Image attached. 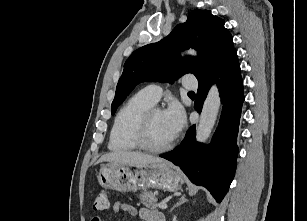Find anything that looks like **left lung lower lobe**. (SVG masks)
<instances>
[{"label": "left lung lower lobe", "mask_w": 307, "mask_h": 221, "mask_svg": "<svg viewBox=\"0 0 307 221\" xmlns=\"http://www.w3.org/2000/svg\"><path fill=\"white\" fill-rule=\"evenodd\" d=\"M214 82L219 87L223 109L211 143L205 146L196 142L193 125L181 145L160 157L179 166L192 183L206 187L220 203L235 174L238 153L236 142L244 101L243 81L236 52L214 75L198 82L194 106L197 112L201 111L207 92Z\"/></svg>", "instance_id": "0a47b994"}]
</instances>
